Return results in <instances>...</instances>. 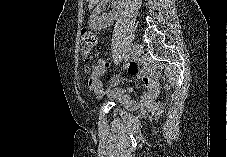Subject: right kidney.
Instances as JSON below:
<instances>
[{"instance_id": "ca27d5eb", "label": "right kidney", "mask_w": 227, "mask_h": 157, "mask_svg": "<svg viewBox=\"0 0 227 157\" xmlns=\"http://www.w3.org/2000/svg\"><path fill=\"white\" fill-rule=\"evenodd\" d=\"M100 12H101V10H100L99 7H97V8L94 10V14H99ZM106 18H108V17H106Z\"/></svg>"}]
</instances>
